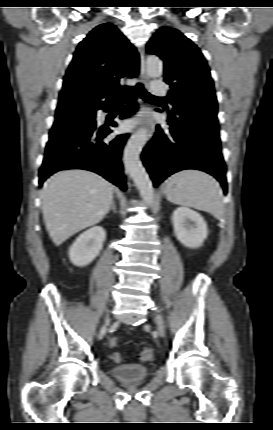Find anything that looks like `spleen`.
Listing matches in <instances>:
<instances>
[{"label": "spleen", "mask_w": 273, "mask_h": 430, "mask_svg": "<svg viewBox=\"0 0 273 430\" xmlns=\"http://www.w3.org/2000/svg\"><path fill=\"white\" fill-rule=\"evenodd\" d=\"M165 183L168 201L209 212L218 219L223 217L224 204L220 186L207 173L185 169L171 175Z\"/></svg>", "instance_id": "spleen-1"}]
</instances>
